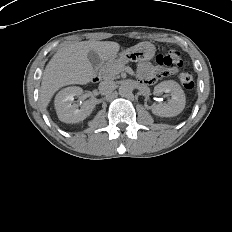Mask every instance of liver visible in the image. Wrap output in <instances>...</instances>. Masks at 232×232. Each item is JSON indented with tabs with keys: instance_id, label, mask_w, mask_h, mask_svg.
Wrapping results in <instances>:
<instances>
[{
	"instance_id": "6515ba94",
	"label": "liver",
	"mask_w": 232,
	"mask_h": 232,
	"mask_svg": "<svg viewBox=\"0 0 232 232\" xmlns=\"http://www.w3.org/2000/svg\"><path fill=\"white\" fill-rule=\"evenodd\" d=\"M144 43L141 42L131 48ZM119 49L120 45L113 41H82L58 49L46 65L42 76L39 98L43 110L61 87L91 82L94 70L87 57L89 51L93 50L102 60H108L115 57Z\"/></svg>"
}]
</instances>
